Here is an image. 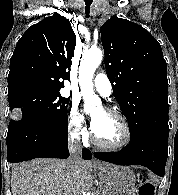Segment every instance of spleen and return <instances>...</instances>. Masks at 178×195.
I'll return each instance as SVG.
<instances>
[{
  "mask_svg": "<svg viewBox=\"0 0 178 195\" xmlns=\"http://www.w3.org/2000/svg\"><path fill=\"white\" fill-rule=\"evenodd\" d=\"M152 182H153L154 185L157 184V180L156 179H152Z\"/></svg>",
  "mask_w": 178,
  "mask_h": 195,
  "instance_id": "obj_1",
  "label": "spleen"
}]
</instances>
